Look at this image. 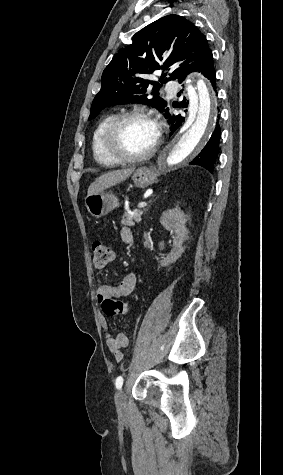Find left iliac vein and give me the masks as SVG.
Instances as JSON below:
<instances>
[{
  "label": "left iliac vein",
  "instance_id": "4c4485c4",
  "mask_svg": "<svg viewBox=\"0 0 283 475\" xmlns=\"http://www.w3.org/2000/svg\"><path fill=\"white\" fill-rule=\"evenodd\" d=\"M117 410L121 416H126L127 398L123 389H119L115 395Z\"/></svg>",
  "mask_w": 283,
  "mask_h": 475
}]
</instances>
